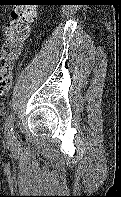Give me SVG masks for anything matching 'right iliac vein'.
I'll use <instances>...</instances> for the list:
<instances>
[{"label": "right iliac vein", "instance_id": "right-iliac-vein-1", "mask_svg": "<svg viewBox=\"0 0 121 197\" xmlns=\"http://www.w3.org/2000/svg\"><path fill=\"white\" fill-rule=\"evenodd\" d=\"M11 145H15V140L13 139L12 142L10 143Z\"/></svg>", "mask_w": 121, "mask_h": 197}]
</instances>
